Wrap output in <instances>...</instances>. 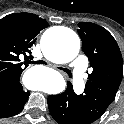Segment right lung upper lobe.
I'll return each mask as SVG.
<instances>
[{
    "label": "right lung upper lobe",
    "mask_w": 124,
    "mask_h": 124,
    "mask_svg": "<svg viewBox=\"0 0 124 124\" xmlns=\"http://www.w3.org/2000/svg\"><path fill=\"white\" fill-rule=\"evenodd\" d=\"M47 26L46 20L32 13H13L0 20V86L19 82L31 62L35 37ZM22 56L25 62H20Z\"/></svg>",
    "instance_id": "obj_1"
}]
</instances>
